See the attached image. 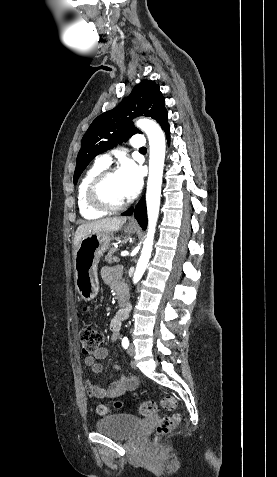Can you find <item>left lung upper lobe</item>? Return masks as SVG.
I'll return each mask as SVG.
<instances>
[{
  "mask_svg": "<svg viewBox=\"0 0 277 477\" xmlns=\"http://www.w3.org/2000/svg\"><path fill=\"white\" fill-rule=\"evenodd\" d=\"M143 115L152 117L161 127L168 122L164 97L159 85L152 80H143L120 105L92 122L81 141L74 184L95 156L115 147L117 142L121 143L133 134L140 133L131 120Z\"/></svg>",
  "mask_w": 277,
  "mask_h": 477,
  "instance_id": "obj_1",
  "label": "left lung upper lobe"
}]
</instances>
